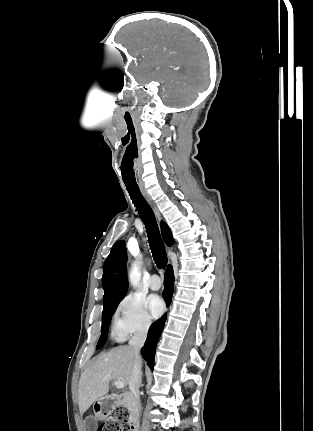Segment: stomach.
<instances>
[{
	"mask_svg": "<svg viewBox=\"0 0 313 431\" xmlns=\"http://www.w3.org/2000/svg\"><path fill=\"white\" fill-rule=\"evenodd\" d=\"M98 405V411L96 413L97 417L100 419H103L106 417L105 408L108 405V401L106 400H100L96 403Z\"/></svg>",
	"mask_w": 313,
	"mask_h": 431,
	"instance_id": "1",
	"label": "stomach"
}]
</instances>
